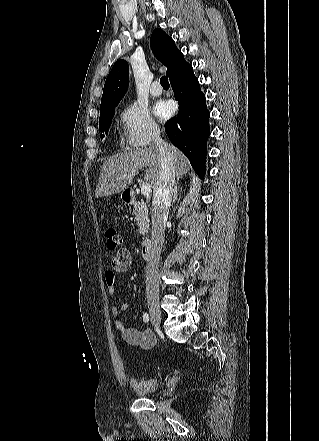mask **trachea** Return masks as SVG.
Listing matches in <instances>:
<instances>
[{
	"mask_svg": "<svg viewBox=\"0 0 319 441\" xmlns=\"http://www.w3.org/2000/svg\"><path fill=\"white\" fill-rule=\"evenodd\" d=\"M160 84L162 87H169V81L168 78L166 76H162L160 79Z\"/></svg>",
	"mask_w": 319,
	"mask_h": 441,
	"instance_id": "3493384b",
	"label": "trachea"
}]
</instances>
